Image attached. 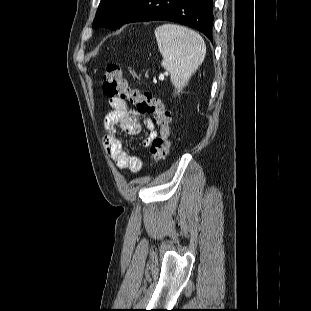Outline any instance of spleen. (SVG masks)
Instances as JSON below:
<instances>
[{"label":"spleen","instance_id":"3e777b00","mask_svg":"<svg viewBox=\"0 0 311 311\" xmlns=\"http://www.w3.org/2000/svg\"><path fill=\"white\" fill-rule=\"evenodd\" d=\"M155 37L163 57L161 65L170 73L171 82L180 92L204 61L205 42L197 32L170 23L157 27Z\"/></svg>","mask_w":311,"mask_h":311}]
</instances>
